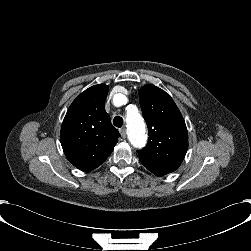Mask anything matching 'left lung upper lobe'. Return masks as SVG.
<instances>
[{
	"label": "left lung upper lobe",
	"instance_id": "left-lung-upper-lobe-1",
	"mask_svg": "<svg viewBox=\"0 0 251 251\" xmlns=\"http://www.w3.org/2000/svg\"><path fill=\"white\" fill-rule=\"evenodd\" d=\"M139 100L149 130L146 147L138 150L139 159L142 164L173 172L188 148L185 121L170 95L152 84L140 89Z\"/></svg>",
	"mask_w": 251,
	"mask_h": 251
}]
</instances>
